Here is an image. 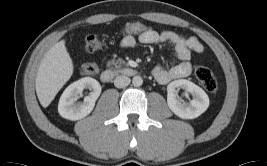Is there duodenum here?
<instances>
[{
    "label": "duodenum",
    "instance_id": "410a0bca",
    "mask_svg": "<svg viewBox=\"0 0 267 166\" xmlns=\"http://www.w3.org/2000/svg\"><path fill=\"white\" fill-rule=\"evenodd\" d=\"M118 75L136 76L137 71L131 67L108 68L101 72L100 79L104 83H109Z\"/></svg>",
    "mask_w": 267,
    "mask_h": 166
}]
</instances>
